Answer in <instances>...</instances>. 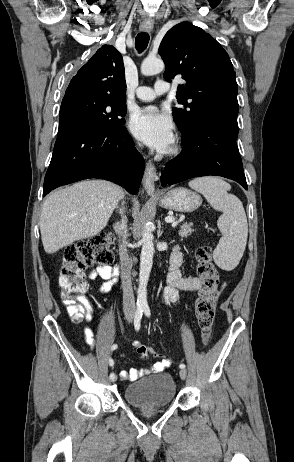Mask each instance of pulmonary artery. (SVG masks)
<instances>
[{"instance_id":"e3ab8cb5","label":"pulmonary artery","mask_w":294,"mask_h":462,"mask_svg":"<svg viewBox=\"0 0 294 462\" xmlns=\"http://www.w3.org/2000/svg\"><path fill=\"white\" fill-rule=\"evenodd\" d=\"M169 84L164 80H157L153 87L140 86L136 89V97L142 101H151L157 96L169 91Z\"/></svg>"}]
</instances>
